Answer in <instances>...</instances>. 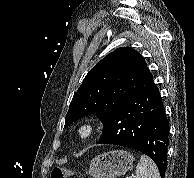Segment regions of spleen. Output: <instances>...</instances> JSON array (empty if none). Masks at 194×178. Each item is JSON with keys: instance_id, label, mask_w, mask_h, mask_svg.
Listing matches in <instances>:
<instances>
[{"instance_id": "1", "label": "spleen", "mask_w": 194, "mask_h": 178, "mask_svg": "<svg viewBox=\"0 0 194 178\" xmlns=\"http://www.w3.org/2000/svg\"><path fill=\"white\" fill-rule=\"evenodd\" d=\"M136 178H160L157 166L146 155H141L136 167Z\"/></svg>"}]
</instances>
